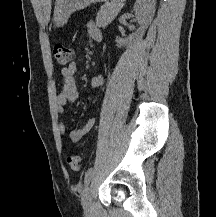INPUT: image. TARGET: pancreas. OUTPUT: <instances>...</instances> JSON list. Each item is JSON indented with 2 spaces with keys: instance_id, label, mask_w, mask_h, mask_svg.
I'll return each instance as SVG.
<instances>
[{
  "instance_id": "cf45deb5",
  "label": "pancreas",
  "mask_w": 216,
  "mask_h": 217,
  "mask_svg": "<svg viewBox=\"0 0 216 217\" xmlns=\"http://www.w3.org/2000/svg\"><path fill=\"white\" fill-rule=\"evenodd\" d=\"M124 1L125 0H112L111 3H106L101 6L97 13L96 25L98 27L106 28L123 7Z\"/></svg>"
}]
</instances>
